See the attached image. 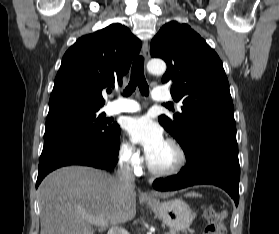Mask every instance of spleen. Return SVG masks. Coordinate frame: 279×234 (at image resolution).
Segmentation results:
<instances>
[{"label":"spleen","mask_w":279,"mask_h":234,"mask_svg":"<svg viewBox=\"0 0 279 234\" xmlns=\"http://www.w3.org/2000/svg\"><path fill=\"white\" fill-rule=\"evenodd\" d=\"M191 195L192 196H200L199 194H196V193H192Z\"/></svg>","instance_id":"spleen-1"}]
</instances>
